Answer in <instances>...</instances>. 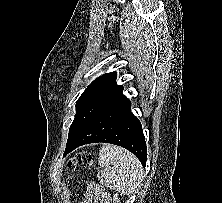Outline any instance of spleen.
<instances>
[{
    "label": "spleen",
    "mask_w": 222,
    "mask_h": 203,
    "mask_svg": "<svg viewBox=\"0 0 222 203\" xmlns=\"http://www.w3.org/2000/svg\"><path fill=\"white\" fill-rule=\"evenodd\" d=\"M98 163L100 182L123 194H132L143 181L140 161L124 148L112 144L103 145Z\"/></svg>",
    "instance_id": "3e777b00"
}]
</instances>
